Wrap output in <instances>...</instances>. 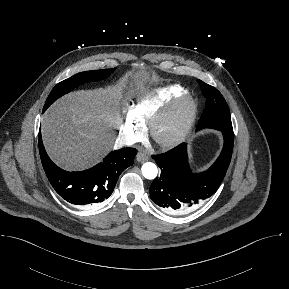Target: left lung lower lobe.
<instances>
[{
    "instance_id": "left-lung-lower-lobe-1",
    "label": "left lung lower lobe",
    "mask_w": 289,
    "mask_h": 289,
    "mask_svg": "<svg viewBox=\"0 0 289 289\" xmlns=\"http://www.w3.org/2000/svg\"><path fill=\"white\" fill-rule=\"evenodd\" d=\"M224 145L216 162L202 173H192L188 164L187 144L152 158L161 169L160 177L150 186V198L161 210L185 214L211 197L220 186L231 161L233 130H221Z\"/></svg>"
}]
</instances>
